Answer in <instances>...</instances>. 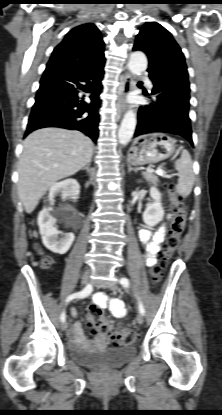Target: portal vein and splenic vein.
I'll list each match as a JSON object with an SVG mask.
<instances>
[{
  "instance_id": "18ae733b",
  "label": "portal vein and splenic vein",
  "mask_w": 222,
  "mask_h": 415,
  "mask_svg": "<svg viewBox=\"0 0 222 415\" xmlns=\"http://www.w3.org/2000/svg\"><path fill=\"white\" fill-rule=\"evenodd\" d=\"M146 171H147L148 173H153V172H154V169H152L151 167H148V168L146 169ZM158 174H159V175H161V176H163V177H166V178H173V177L175 176V174H164V173H162V172H158Z\"/></svg>"
}]
</instances>
